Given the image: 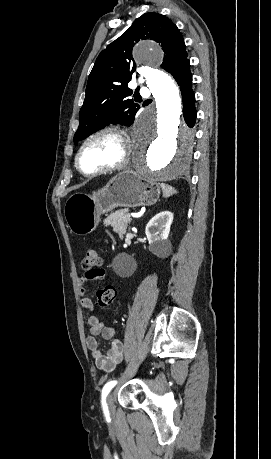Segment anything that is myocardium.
I'll return each mask as SVG.
<instances>
[{"label": "myocardium", "instance_id": "f54148a6", "mask_svg": "<svg viewBox=\"0 0 271 459\" xmlns=\"http://www.w3.org/2000/svg\"><path fill=\"white\" fill-rule=\"evenodd\" d=\"M105 133H111L120 140L122 144V153L120 157L118 158V160H116L113 163L102 166L92 172H85L84 170L81 169L79 165V158H80L81 152L83 151L85 145L88 143L89 140H91L92 138L96 136L105 134ZM130 154H131V144H130L129 137L127 136L125 130L118 125L110 124V125H105L103 127L96 129L95 131L88 134L82 140L74 156V165H75L76 170L81 175L90 178V177H95L97 175L103 174L105 172L114 171V170L124 167L129 161Z\"/></svg>", "mask_w": 271, "mask_h": 459}]
</instances>
